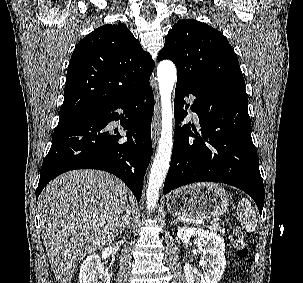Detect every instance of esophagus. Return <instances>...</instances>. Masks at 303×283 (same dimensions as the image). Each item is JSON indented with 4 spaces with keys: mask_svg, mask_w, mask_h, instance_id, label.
<instances>
[{
    "mask_svg": "<svg viewBox=\"0 0 303 283\" xmlns=\"http://www.w3.org/2000/svg\"><path fill=\"white\" fill-rule=\"evenodd\" d=\"M158 98H159V96L157 95L155 110H154V115H153V120H152V144H153L154 148L157 144L159 130H160V106H159Z\"/></svg>",
    "mask_w": 303,
    "mask_h": 283,
    "instance_id": "1",
    "label": "esophagus"
}]
</instances>
